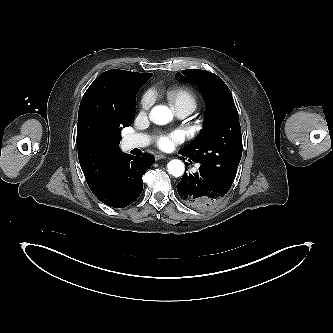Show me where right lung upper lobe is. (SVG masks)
Returning <instances> with one entry per match:
<instances>
[{
  "mask_svg": "<svg viewBox=\"0 0 333 333\" xmlns=\"http://www.w3.org/2000/svg\"><path fill=\"white\" fill-rule=\"evenodd\" d=\"M151 74L109 70L83 95L78 113V157L94 194L105 186L123 154L121 130L134 119L135 95Z\"/></svg>",
  "mask_w": 333,
  "mask_h": 333,
  "instance_id": "obj_1",
  "label": "right lung upper lobe"
}]
</instances>
